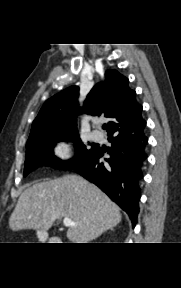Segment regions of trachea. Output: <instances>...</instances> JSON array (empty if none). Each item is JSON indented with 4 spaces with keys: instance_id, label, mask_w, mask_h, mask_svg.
<instances>
[{
    "instance_id": "trachea-1",
    "label": "trachea",
    "mask_w": 181,
    "mask_h": 288,
    "mask_svg": "<svg viewBox=\"0 0 181 288\" xmlns=\"http://www.w3.org/2000/svg\"><path fill=\"white\" fill-rule=\"evenodd\" d=\"M107 128V125L106 124H103V129H106Z\"/></svg>"
}]
</instances>
